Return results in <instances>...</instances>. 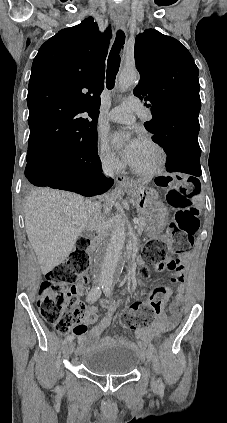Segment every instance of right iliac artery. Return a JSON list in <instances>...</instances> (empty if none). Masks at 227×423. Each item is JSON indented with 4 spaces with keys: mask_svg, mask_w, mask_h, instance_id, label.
<instances>
[{
    "mask_svg": "<svg viewBox=\"0 0 227 423\" xmlns=\"http://www.w3.org/2000/svg\"><path fill=\"white\" fill-rule=\"evenodd\" d=\"M101 288H103V285H96L92 287V289L90 290L87 296V299L89 302H94L100 297ZM74 338H75V334L68 335L64 340V344H66L68 341H72Z\"/></svg>",
    "mask_w": 227,
    "mask_h": 423,
    "instance_id": "82829eb1",
    "label": "right iliac artery"
}]
</instances>
